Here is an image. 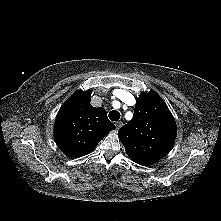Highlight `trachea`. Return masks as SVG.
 <instances>
[{
    "mask_svg": "<svg viewBox=\"0 0 221 221\" xmlns=\"http://www.w3.org/2000/svg\"><path fill=\"white\" fill-rule=\"evenodd\" d=\"M108 116H109L110 120H112V121H118L120 119V113L116 110L110 111Z\"/></svg>",
    "mask_w": 221,
    "mask_h": 221,
    "instance_id": "3493384b",
    "label": "trachea"
}]
</instances>
